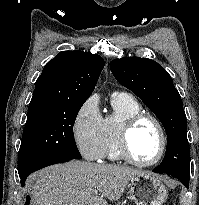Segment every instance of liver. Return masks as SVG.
Segmentation results:
<instances>
[{
	"instance_id": "1",
	"label": "liver",
	"mask_w": 199,
	"mask_h": 205,
	"mask_svg": "<svg viewBox=\"0 0 199 205\" xmlns=\"http://www.w3.org/2000/svg\"><path fill=\"white\" fill-rule=\"evenodd\" d=\"M141 173L127 166L70 161L34 173L27 187L32 189L33 205H107L96 192L117 201Z\"/></svg>"
}]
</instances>
